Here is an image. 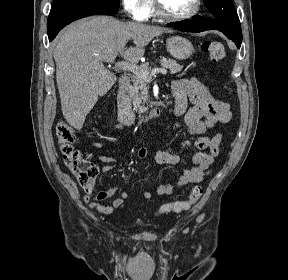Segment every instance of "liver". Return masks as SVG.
I'll return each mask as SVG.
<instances>
[{
	"label": "liver",
	"instance_id": "liver-1",
	"mask_svg": "<svg viewBox=\"0 0 288 280\" xmlns=\"http://www.w3.org/2000/svg\"><path fill=\"white\" fill-rule=\"evenodd\" d=\"M169 31L105 15L87 17L66 27L54 50L56 81L66 121L81 129L99 96L116 83L117 77L103 64L104 56L120 54L127 62L137 63L144 55V47ZM130 39L135 46L127 49Z\"/></svg>",
	"mask_w": 288,
	"mask_h": 280
}]
</instances>
